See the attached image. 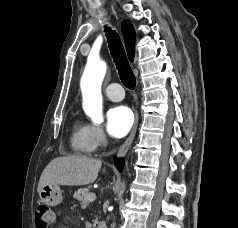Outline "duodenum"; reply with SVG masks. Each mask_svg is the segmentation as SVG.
Segmentation results:
<instances>
[{
    "label": "duodenum",
    "instance_id": "duodenum-1",
    "mask_svg": "<svg viewBox=\"0 0 238 228\" xmlns=\"http://www.w3.org/2000/svg\"><path fill=\"white\" fill-rule=\"evenodd\" d=\"M96 228H107L103 223H98Z\"/></svg>",
    "mask_w": 238,
    "mask_h": 228
}]
</instances>
